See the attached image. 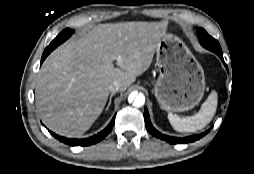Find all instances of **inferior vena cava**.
Returning <instances> with one entry per match:
<instances>
[{
    "label": "inferior vena cava",
    "instance_id": "1",
    "mask_svg": "<svg viewBox=\"0 0 254 174\" xmlns=\"http://www.w3.org/2000/svg\"><path fill=\"white\" fill-rule=\"evenodd\" d=\"M120 90V83L118 81H113L109 86V91L115 93Z\"/></svg>",
    "mask_w": 254,
    "mask_h": 174
}]
</instances>
